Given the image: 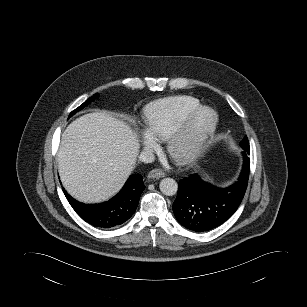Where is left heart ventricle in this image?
<instances>
[{
	"mask_svg": "<svg viewBox=\"0 0 307 307\" xmlns=\"http://www.w3.org/2000/svg\"><path fill=\"white\" fill-rule=\"evenodd\" d=\"M211 115L208 112L199 114L193 122L192 132L198 133L203 130L210 122Z\"/></svg>",
	"mask_w": 307,
	"mask_h": 307,
	"instance_id": "b2bd125f",
	"label": "left heart ventricle"
}]
</instances>
